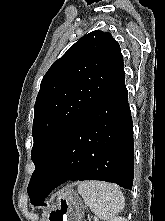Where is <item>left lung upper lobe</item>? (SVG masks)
<instances>
[{
  "label": "left lung upper lobe",
  "mask_w": 165,
  "mask_h": 221,
  "mask_svg": "<svg viewBox=\"0 0 165 221\" xmlns=\"http://www.w3.org/2000/svg\"><path fill=\"white\" fill-rule=\"evenodd\" d=\"M122 70L120 46L103 31L85 35L51 65L34 106L31 201L67 135Z\"/></svg>",
  "instance_id": "obj_1"
}]
</instances>
